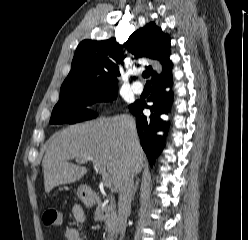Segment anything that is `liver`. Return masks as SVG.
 <instances>
[{
  "label": "liver",
  "mask_w": 248,
  "mask_h": 240,
  "mask_svg": "<svg viewBox=\"0 0 248 240\" xmlns=\"http://www.w3.org/2000/svg\"><path fill=\"white\" fill-rule=\"evenodd\" d=\"M96 161L112 175L118 191L125 173L141 172L145 156L140 146L134 119L128 115L100 118L71 125L56 133L43 158L44 187L49 193L54 187L81 179L87 168L70 163Z\"/></svg>",
  "instance_id": "obj_1"
}]
</instances>
